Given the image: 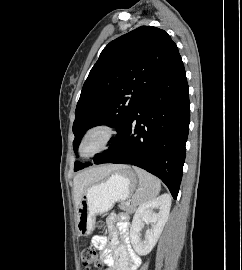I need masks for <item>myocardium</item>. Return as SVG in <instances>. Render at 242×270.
Returning a JSON list of instances; mask_svg holds the SVG:
<instances>
[{
    "mask_svg": "<svg viewBox=\"0 0 242 270\" xmlns=\"http://www.w3.org/2000/svg\"><path fill=\"white\" fill-rule=\"evenodd\" d=\"M97 132L102 134V141H101L100 146L91 154H89L87 156L83 155L82 149H83V145H84L85 141L87 140V138L91 134L97 133ZM115 136H116V129L112 124H110L108 122H100V123H96V124L90 126L83 133V135L80 139L79 145H78V153H79L80 157L85 158V159H89V158L96 156L99 153H102L103 151L108 149V147L113 142Z\"/></svg>",
    "mask_w": 242,
    "mask_h": 270,
    "instance_id": "f54148a6",
    "label": "myocardium"
}]
</instances>
